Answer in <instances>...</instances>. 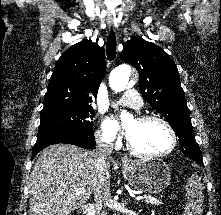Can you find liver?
<instances>
[{
    "instance_id": "1",
    "label": "liver",
    "mask_w": 221,
    "mask_h": 215,
    "mask_svg": "<svg viewBox=\"0 0 221 215\" xmlns=\"http://www.w3.org/2000/svg\"><path fill=\"white\" fill-rule=\"evenodd\" d=\"M110 167L107 160L108 177ZM97 174L96 153L68 144L47 147L29 178L30 215H69L86 203ZM75 188L85 192L77 194Z\"/></svg>"
}]
</instances>
